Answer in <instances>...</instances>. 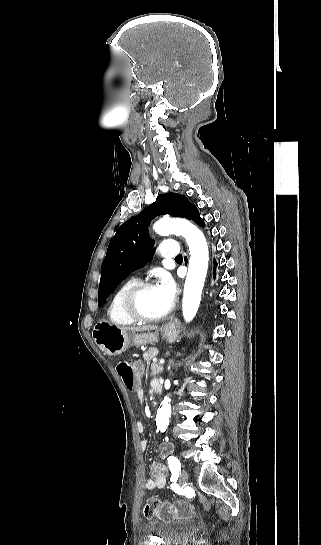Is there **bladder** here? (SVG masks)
I'll return each mask as SVG.
<instances>
[{
    "label": "bladder",
    "mask_w": 321,
    "mask_h": 545,
    "mask_svg": "<svg viewBox=\"0 0 321 545\" xmlns=\"http://www.w3.org/2000/svg\"><path fill=\"white\" fill-rule=\"evenodd\" d=\"M195 526V521L191 518L164 520L153 516L148 521L147 530L166 545H180L189 539Z\"/></svg>",
    "instance_id": "31cf9c89"
}]
</instances>
